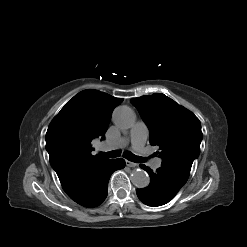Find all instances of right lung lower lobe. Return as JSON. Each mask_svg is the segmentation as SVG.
<instances>
[{"label":"right lung lower lobe","mask_w":247,"mask_h":247,"mask_svg":"<svg viewBox=\"0 0 247 247\" xmlns=\"http://www.w3.org/2000/svg\"><path fill=\"white\" fill-rule=\"evenodd\" d=\"M125 167L123 159H107L99 165L78 172L61 182L64 191L84 207H96L107 197L111 174Z\"/></svg>","instance_id":"obj_1"}]
</instances>
